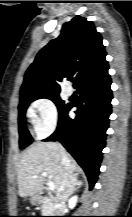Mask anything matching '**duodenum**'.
<instances>
[{
  "instance_id": "obj_1",
  "label": "duodenum",
  "mask_w": 132,
  "mask_h": 217,
  "mask_svg": "<svg viewBox=\"0 0 132 217\" xmlns=\"http://www.w3.org/2000/svg\"><path fill=\"white\" fill-rule=\"evenodd\" d=\"M38 198L40 201H45L51 198V193L48 190H40L38 192Z\"/></svg>"
}]
</instances>
